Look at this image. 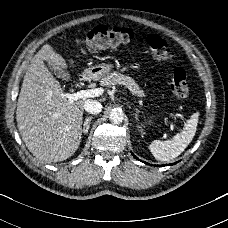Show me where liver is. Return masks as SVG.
Wrapping results in <instances>:
<instances>
[{
  "instance_id": "obj_1",
  "label": "liver",
  "mask_w": 228,
  "mask_h": 228,
  "mask_svg": "<svg viewBox=\"0 0 228 228\" xmlns=\"http://www.w3.org/2000/svg\"><path fill=\"white\" fill-rule=\"evenodd\" d=\"M44 60L66 68L46 44L31 60L19 93L16 121L28 150L46 163L63 161L78 149L85 99L70 102Z\"/></svg>"
}]
</instances>
